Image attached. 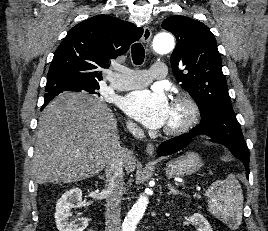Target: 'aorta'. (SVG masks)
Instances as JSON below:
<instances>
[{
    "instance_id": "obj_1",
    "label": "aorta",
    "mask_w": 268,
    "mask_h": 231,
    "mask_svg": "<svg viewBox=\"0 0 268 231\" xmlns=\"http://www.w3.org/2000/svg\"><path fill=\"white\" fill-rule=\"evenodd\" d=\"M174 46V38L168 33H160L156 35L153 41V48L158 54L169 53L173 50ZM147 205L148 196L143 193L127 213L122 224V231H135L137 224L145 213Z\"/></svg>"
}]
</instances>
